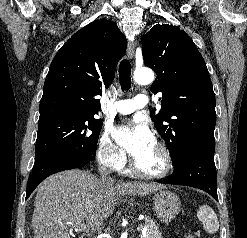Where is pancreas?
<instances>
[{"label": "pancreas", "instance_id": "obj_1", "mask_svg": "<svg viewBox=\"0 0 247 238\" xmlns=\"http://www.w3.org/2000/svg\"><path fill=\"white\" fill-rule=\"evenodd\" d=\"M146 235L141 238H162V234L158 225L151 219H146L145 222Z\"/></svg>", "mask_w": 247, "mask_h": 238}]
</instances>
